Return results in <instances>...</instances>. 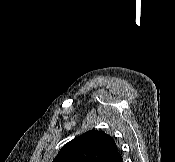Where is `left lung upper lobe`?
Listing matches in <instances>:
<instances>
[{"instance_id": "left-lung-upper-lobe-1", "label": "left lung upper lobe", "mask_w": 175, "mask_h": 162, "mask_svg": "<svg viewBox=\"0 0 175 162\" xmlns=\"http://www.w3.org/2000/svg\"><path fill=\"white\" fill-rule=\"evenodd\" d=\"M115 150L112 137L92 129L65 144L53 162H105Z\"/></svg>"}]
</instances>
